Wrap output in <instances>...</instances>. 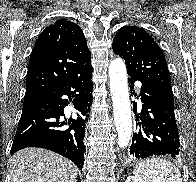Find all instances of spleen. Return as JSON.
I'll return each mask as SVG.
<instances>
[{
  "instance_id": "1",
  "label": "spleen",
  "mask_w": 196,
  "mask_h": 182,
  "mask_svg": "<svg viewBox=\"0 0 196 182\" xmlns=\"http://www.w3.org/2000/svg\"><path fill=\"white\" fill-rule=\"evenodd\" d=\"M133 173L139 182H182L178 168L160 158H150L138 163Z\"/></svg>"
}]
</instances>
